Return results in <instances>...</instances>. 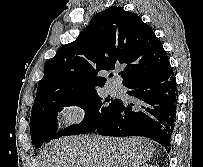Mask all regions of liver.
Here are the masks:
<instances>
[{
	"instance_id": "1",
	"label": "liver",
	"mask_w": 203,
	"mask_h": 167,
	"mask_svg": "<svg viewBox=\"0 0 203 167\" xmlns=\"http://www.w3.org/2000/svg\"><path fill=\"white\" fill-rule=\"evenodd\" d=\"M153 154L143 138L71 136L48 143L36 167H142Z\"/></svg>"
}]
</instances>
